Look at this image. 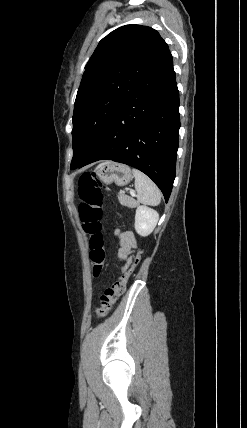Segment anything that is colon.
<instances>
[{"label":"colon","instance_id":"5ec220e1","mask_svg":"<svg viewBox=\"0 0 247 428\" xmlns=\"http://www.w3.org/2000/svg\"><path fill=\"white\" fill-rule=\"evenodd\" d=\"M104 188L94 173H85L79 178L78 193L81 199L79 212L84 230L89 235L92 275L95 278L102 273L107 258L101 224ZM140 260L141 252L139 251L128 270L104 291L100 297L99 305L95 308L97 317H105L119 297L126 291L128 281Z\"/></svg>","mask_w":247,"mask_h":428}]
</instances>
